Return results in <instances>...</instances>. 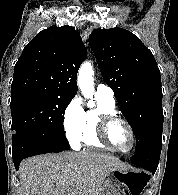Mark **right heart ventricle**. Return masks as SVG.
<instances>
[{"label": "right heart ventricle", "mask_w": 178, "mask_h": 195, "mask_svg": "<svg viewBox=\"0 0 178 195\" xmlns=\"http://www.w3.org/2000/svg\"><path fill=\"white\" fill-rule=\"evenodd\" d=\"M96 100L97 107L93 110L85 112L86 126L82 142L88 147L105 149L106 147L99 141L97 137L98 121L102 114H115L116 105L115 103L109 102L99 96H96Z\"/></svg>", "instance_id": "obj_1"}]
</instances>
